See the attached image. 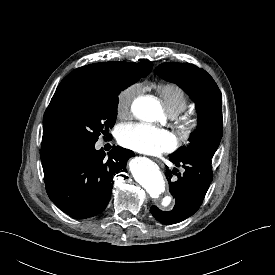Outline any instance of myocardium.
Here are the masks:
<instances>
[{
  "label": "myocardium",
  "instance_id": "1",
  "mask_svg": "<svg viewBox=\"0 0 275 275\" xmlns=\"http://www.w3.org/2000/svg\"><path fill=\"white\" fill-rule=\"evenodd\" d=\"M177 131L182 139H187L197 127V119L192 114L178 115L175 119Z\"/></svg>",
  "mask_w": 275,
  "mask_h": 275
}]
</instances>
